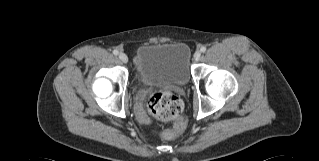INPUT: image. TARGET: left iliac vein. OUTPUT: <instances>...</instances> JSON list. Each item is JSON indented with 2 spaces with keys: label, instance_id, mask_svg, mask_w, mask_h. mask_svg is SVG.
<instances>
[{
  "label": "left iliac vein",
  "instance_id": "4c4485c4",
  "mask_svg": "<svg viewBox=\"0 0 319 161\" xmlns=\"http://www.w3.org/2000/svg\"><path fill=\"white\" fill-rule=\"evenodd\" d=\"M200 56H201V52H200V51H196V52L194 53V59H195L196 61L199 60Z\"/></svg>",
  "mask_w": 319,
  "mask_h": 161
}]
</instances>
